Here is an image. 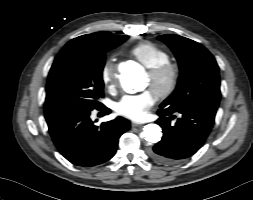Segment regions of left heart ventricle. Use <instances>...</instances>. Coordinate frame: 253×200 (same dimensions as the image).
Wrapping results in <instances>:
<instances>
[{
  "label": "left heart ventricle",
  "instance_id": "1",
  "mask_svg": "<svg viewBox=\"0 0 253 200\" xmlns=\"http://www.w3.org/2000/svg\"><path fill=\"white\" fill-rule=\"evenodd\" d=\"M152 84H153V82H152L151 78L149 77V75L147 74L144 86L145 87H152Z\"/></svg>",
  "mask_w": 253,
  "mask_h": 200
}]
</instances>
